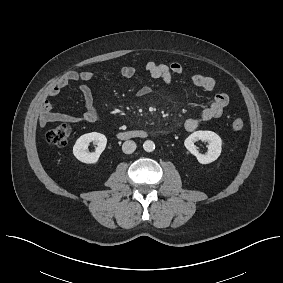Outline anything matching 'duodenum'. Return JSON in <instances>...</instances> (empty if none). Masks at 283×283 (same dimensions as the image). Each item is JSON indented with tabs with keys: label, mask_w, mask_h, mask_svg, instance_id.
Instances as JSON below:
<instances>
[{
	"label": "duodenum",
	"mask_w": 283,
	"mask_h": 283,
	"mask_svg": "<svg viewBox=\"0 0 283 283\" xmlns=\"http://www.w3.org/2000/svg\"><path fill=\"white\" fill-rule=\"evenodd\" d=\"M147 136V131L145 130H131V131H123L117 134V137L120 139H129V138H143Z\"/></svg>",
	"instance_id": "duodenum-1"
}]
</instances>
